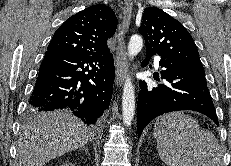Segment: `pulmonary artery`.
<instances>
[{
	"label": "pulmonary artery",
	"instance_id": "1",
	"mask_svg": "<svg viewBox=\"0 0 231 166\" xmlns=\"http://www.w3.org/2000/svg\"><path fill=\"white\" fill-rule=\"evenodd\" d=\"M156 63H157V64L159 63V58H156Z\"/></svg>",
	"mask_w": 231,
	"mask_h": 166
}]
</instances>
